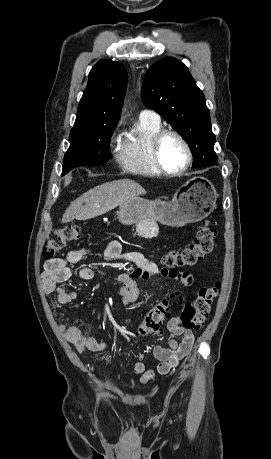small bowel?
Instances as JSON below:
<instances>
[{"mask_svg":"<svg viewBox=\"0 0 271 459\" xmlns=\"http://www.w3.org/2000/svg\"><path fill=\"white\" fill-rule=\"evenodd\" d=\"M93 251L90 248H76L70 250L66 258H54L46 261L42 273V287L45 294L56 293L59 304H69L78 298L76 291H68L62 283L71 277V264L78 263L85 256ZM102 255L109 260L121 259L134 264L136 267L129 273L117 275L120 283L119 294L124 305L135 303L139 299V290L136 286L137 279H148L154 275H160L169 280L179 281L183 286L190 287L194 284V278L189 271H180L169 268H158L155 262L146 259L139 252H121L120 243L117 240L107 242L101 250ZM95 272L92 268L81 266L77 271V276L82 280H90ZM127 319L124 324H129ZM60 331L76 347L79 353L84 351H104L112 347L109 341L97 340L87 337L77 327H66L61 325ZM167 329L177 336L170 340L166 345H157L153 349L154 357L159 361L156 369H146L142 363H136L133 367L134 373L140 376L142 383L153 379L156 374H167L179 362L187 357L194 343V335L190 329L182 325L180 317H173L167 323Z\"/></svg>","mask_w":271,"mask_h":459,"instance_id":"small-bowel-1","label":"small bowel"}]
</instances>
